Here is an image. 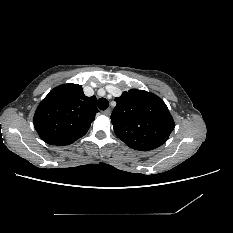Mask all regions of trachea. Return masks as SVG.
Listing matches in <instances>:
<instances>
[{"instance_id":"1","label":"trachea","mask_w":233,"mask_h":233,"mask_svg":"<svg viewBox=\"0 0 233 233\" xmlns=\"http://www.w3.org/2000/svg\"><path fill=\"white\" fill-rule=\"evenodd\" d=\"M97 105L100 110H106L109 106V101L106 98H100L97 101Z\"/></svg>"}]
</instances>
